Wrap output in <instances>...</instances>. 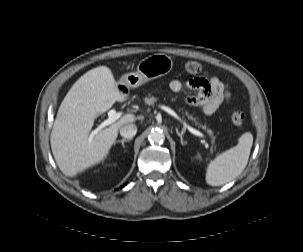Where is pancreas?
I'll list each match as a JSON object with an SVG mask.
<instances>
[{
	"label": "pancreas",
	"mask_w": 303,
	"mask_h": 252,
	"mask_svg": "<svg viewBox=\"0 0 303 252\" xmlns=\"http://www.w3.org/2000/svg\"><path fill=\"white\" fill-rule=\"evenodd\" d=\"M157 100H158V98H156V97H154V96H150V95H149L148 97H145V98H144V101H145V103H146L147 105H154V103L157 102ZM185 115H187L188 118H189L190 120H192V121L195 123V125L202 127V128H203L204 130H206L207 133H209L211 136L213 135V132H212L210 129H208L205 125H201V124L197 121V119L194 118L192 115H190L187 111H185Z\"/></svg>",
	"instance_id": "cf45deb5"
}]
</instances>
